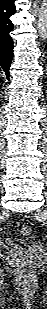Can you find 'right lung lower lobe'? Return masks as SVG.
<instances>
[{"label":"right lung lower lobe","instance_id":"98d812e1","mask_svg":"<svg viewBox=\"0 0 47 309\" xmlns=\"http://www.w3.org/2000/svg\"><path fill=\"white\" fill-rule=\"evenodd\" d=\"M15 0H0V66L9 80V68L13 56V41L9 33L13 29L10 17L15 14Z\"/></svg>","mask_w":47,"mask_h":309}]
</instances>
